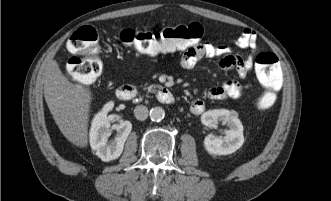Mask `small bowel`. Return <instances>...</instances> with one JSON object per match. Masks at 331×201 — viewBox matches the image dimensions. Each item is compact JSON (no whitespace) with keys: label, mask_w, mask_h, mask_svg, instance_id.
<instances>
[{"label":"small bowel","mask_w":331,"mask_h":201,"mask_svg":"<svg viewBox=\"0 0 331 201\" xmlns=\"http://www.w3.org/2000/svg\"><path fill=\"white\" fill-rule=\"evenodd\" d=\"M234 44L238 48L249 49L250 53L245 58H242L238 55H232L230 46L205 43L187 49L180 59V65L185 69H191L203 59L220 58L221 69H236L238 76L244 78L254 64L258 36L251 29H244L242 34L234 41ZM242 95L243 87L235 79H228L220 85L208 88L203 93L204 98L213 100L237 99ZM204 110L205 101L203 99H196L189 106L190 113L194 115H200Z\"/></svg>","instance_id":"1"}]
</instances>
